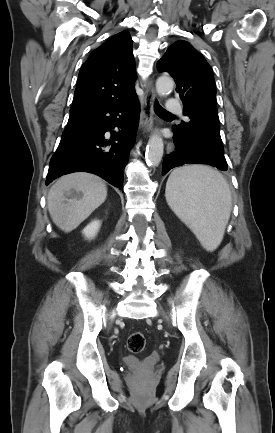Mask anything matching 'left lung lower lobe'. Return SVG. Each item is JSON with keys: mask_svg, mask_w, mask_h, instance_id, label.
I'll return each mask as SVG.
<instances>
[{"mask_svg": "<svg viewBox=\"0 0 275 433\" xmlns=\"http://www.w3.org/2000/svg\"><path fill=\"white\" fill-rule=\"evenodd\" d=\"M175 151L164 158L162 175H165L170 169L184 164H209L207 161L195 156L188 148V145L174 134ZM212 166V165H211ZM223 170V169H220ZM225 171V170H223Z\"/></svg>", "mask_w": 275, "mask_h": 433, "instance_id": "1", "label": "left lung lower lobe"}]
</instances>
